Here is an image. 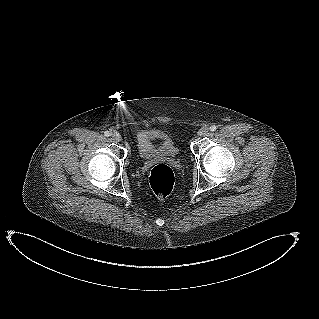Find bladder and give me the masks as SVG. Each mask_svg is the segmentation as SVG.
I'll return each mask as SVG.
<instances>
[{
    "label": "bladder",
    "instance_id": "obj_1",
    "mask_svg": "<svg viewBox=\"0 0 319 319\" xmlns=\"http://www.w3.org/2000/svg\"><path fill=\"white\" fill-rule=\"evenodd\" d=\"M136 147L139 156L144 160L175 158L179 155V149L173 139L158 130H146L138 133Z\"/></svg>",
    "mask_w": 319,
    "mask_h": 319
}]
</instances>
